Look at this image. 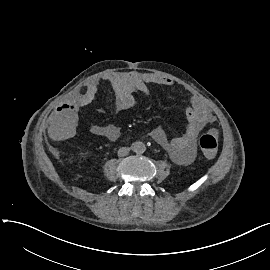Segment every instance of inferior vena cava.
<instances>
[{
  "mask_svg": "<svg viewBox=\"0 0 270 270\" xmlns=\"http://www.w3.org/2000/svg\"><path fill=\"white\" fill-rule=\"evenodd\" d=\"M130 148L129 147H121L118 150V156L119 157H124L129 154Z\"/></svg>",
  "mask_w": 270,
  "mask_h": 270,
  "instance_id": "1",
  "label": "inferior vena cava"
}]
</instances>
